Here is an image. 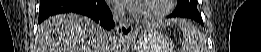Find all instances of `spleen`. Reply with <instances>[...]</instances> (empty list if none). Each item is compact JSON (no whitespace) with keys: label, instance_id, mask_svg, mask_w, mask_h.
Returning <instances> with one entry per match:
<instances>
[{"label":"spleen","instance_id":"spleen-1","mask_svg":"<svg viewBox=\"0 0 261 52\" xmlns=\"http://www.w3.org/2000/svg\"><path fill=\"white\" fill-rule=\"evenodd\" d=\"M179 27L183 32L184 50L186 52H197L200 48V32L197 27L189 21H179Z\"/></svg>","mask_w":261,"mask_h":52}]
</instances>
